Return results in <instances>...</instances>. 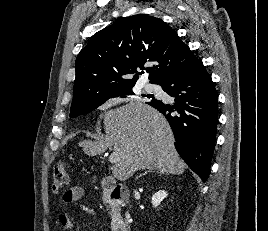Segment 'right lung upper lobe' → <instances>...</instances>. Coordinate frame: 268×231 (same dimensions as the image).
Instances as JSON below:
<instances>
[{
  "mask_svg": "<svg viewBox=\"0 0 268 231\" xmlns=\"http://www.w3.org/2000/svg\"><path fill=\"white\" fill-rule=\"evenodd\" d=\"M200 62L160 18L129 16L94 34L78 54L72 103L93 102L133 87L145 63L154 65L150 82L161 85Z\"/></svg>",
  "mask_w": 268,
  "mask_h": 231,
  "instance_id": "cb5924a9",
  "label": "right lung upper lobe"
}]
</instances>
